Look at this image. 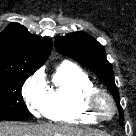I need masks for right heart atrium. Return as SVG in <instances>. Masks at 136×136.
<instances>
[{
    "label": "right heart atrium",
    "instance_id": "1",
    "mask_svg": "<svg viewBox=\"0 0 136 136\" xmlns=\"http://www.w3.org/2000/svg\"><path fill=\"white\" fill-rule=\"evenodd\" d=\"M22 96L27 108L33 115H43L47 106V90L42 74L36 73L24 83Z\"/></svg>",
    "mask_w": 136,
    "mask_h": 136
}]
</instances>
